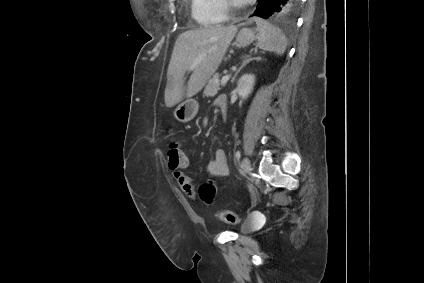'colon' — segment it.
Segmentation results:
<instances>
[{
    "mask_svg": "<svg viewBox=\"0 0 424 283\" xmlns=\"http://www.w3.org/2000/svg\"><path fill=\"white\" fill-rule=\"evenodd\" d=\"M168 164L172 168H177L184 164V154L179 148L178 144L174 141L170 142L168 148ZM216 194V186L213 181H207L201 184L199 188V195L205 202H212ZM219 218L229 224H236L238 222V216L235 212L229 210H222L218 214Z\"/></svg>",
    "mask_w": 424,
    "mask_h": 283,
    "instance_id": "5ec220e1",
    "label": "colon"
}]
</instances>
